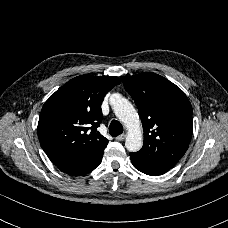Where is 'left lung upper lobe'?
Wrapping results in <instances>:
<instances>
[{"instance_id": "5c2ea615", "label": "left lung upper lobe", "mask_w": 228, "mask_h": 228, "mask_svg": "<svg viewBox=\"0 0 228 228\" xmlns=\"http://www.w3.org/2000/svg\"><path fill=\"white\" fill-rule=\"evenodd\" d=\"M135 101L144 130L137 159L160 167H173L188 149L193 132V110L184 92L155 73L121 77Z\"/></svg>"}]
</instances>
